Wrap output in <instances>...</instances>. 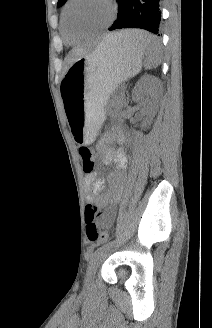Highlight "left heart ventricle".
Returning a JSON list of instances; mask_svg holds the SVG:
<instances>
[{
  "mask_svg": "<svg viewBox=\"0 0 212 328\" xmlns=\"http://www.w3.org/2000/svg\"><path fill=\"white\" fill-rule=\"evenodd\" d=\"M111 15L105 0H75L68 10L72 31H87L107 23Z\"/></svg>",
  "mask_w": 212,
  "mask_h": 328,
  "instance_id": "obj_1",
  "label": "left heart ventricle"
}]
</instances>
